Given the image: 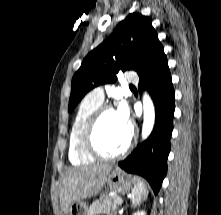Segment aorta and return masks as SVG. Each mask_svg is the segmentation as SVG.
I'll return each mask as SVG.
<instances>
[{
  "label": "aorta",
  "instance_id": "1",
  "mask_svg": "<svg viewBox=\"0 0 221 215\" xmlns=\"http://www.w3.org/2000/svg\"><path fill=\"white\" fill-rule=\"evenodd\" d=\"M143 114L142 138L146 139L152 132L155 123V108L151 98L146 93L143 96Z\"/></svg>",
  "mask_w": 221,
  "mask_h": 215
}]
</instances>
